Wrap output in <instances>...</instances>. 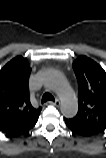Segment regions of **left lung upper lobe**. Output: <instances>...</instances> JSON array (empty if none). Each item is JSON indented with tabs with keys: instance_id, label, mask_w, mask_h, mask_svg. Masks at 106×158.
<instances>
[{
	"instance_id": "1",
	"label": "left lung upper lobe",
	"mask_w": 106,
	"mask_h": 158,
	"mask_svg": "<svg viewBox=\"0 0 106 158\" xmlns=\"http://www.w3.org/2000/svg\"><path fill=\"white\" fill-rule=\"evenodd\" d=\"M78 81V112L66 125L82 136L106 129V72L92 59L79 56L73 62Z\"/></svg>"
}]
</instances>
